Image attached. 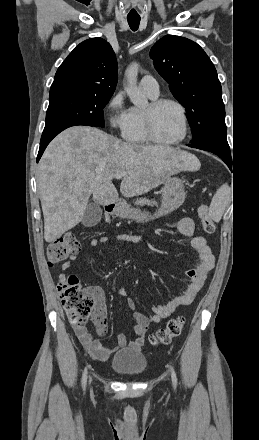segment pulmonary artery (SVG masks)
Returning a JSON list of instances; mask_svg holds the SVG:
<instances>
[{
	"instance_id": "pulmonary-artery-1",
	"label": "pulmonary artery",
	"mask_w": 259,
	"mask_h": 440,
	"mask_svg": "<svg viewBox=\"0 0 259 440\" xmlns=\"http://www.w3.org/2000/svg\"><path fill=\"white\" fill-rule=\"evenodd\" d=\"M140 87L151 97H157L159 94V85L157 80L151 75H145L140 80Z\"/></svg>"
}]
</instances>
